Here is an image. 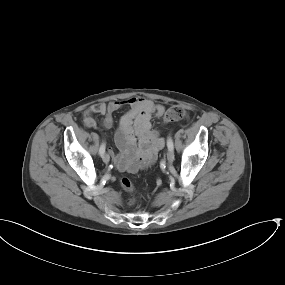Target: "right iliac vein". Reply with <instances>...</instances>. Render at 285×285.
Listing matches in <instances>:
<instances>
[{
    "label": "right iliac vein",
    "mask_w": 285,
    "mask_h": 285,
    "mask_svg": "<svg viewBox=\"0 0 285 285\" xmlns=\"http://www.w3.org/2000/svg\"><path fill=\"white\" fill-rule=\"evenodd\" d=\"M102 160H103V162L104 163H109V161H110V156H109V154L108 153H104L103 155H102Z\"/></svg>",
    "instance_id": "1"
}]
</instances>
